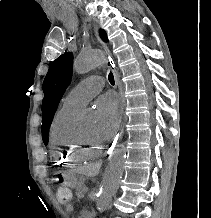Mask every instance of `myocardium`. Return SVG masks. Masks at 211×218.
<instances>
[{
  "mask_svg": "<svg viewBox=\"0 0 211 218\" xmlns=\"http://www.w3.org/2000/svg\"><path fill=\"white\" fill-rule=\"evenodd\" d=\"M78 140L82 148L87 151L100 154L102 149L104 148V142L100 138H97V139L87 138L83 134L81 129H78Z\"/></svg>",
  "mask_w": 211,
  "mask_h": 218,
  "instance_id": "myocardium-1",
  "label": "myocardium"
}]
</instances>
